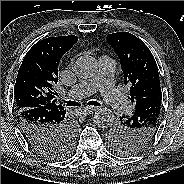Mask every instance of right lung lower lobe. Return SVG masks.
I'll list each match as a JSON object with an SVG mask.
<instances>
[{"instance_id":"98d812e1","label":"right lung lower lobe","mask_w":184,"mask_h":184,"mask_svg":"<svg viewBox=\"0 0 184 184\" xmlns=\"http://www.w3.org/2000/svg\"><path fill=\"white\" fill-rule=\"evenodd\" d=\"M17 114L25 138L38 152L59 147L72 127L65 117L64 107L52 110L31 108Z\"/></svg>"}]
</instances>
